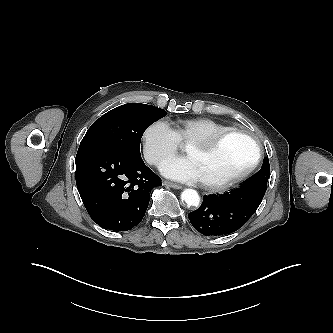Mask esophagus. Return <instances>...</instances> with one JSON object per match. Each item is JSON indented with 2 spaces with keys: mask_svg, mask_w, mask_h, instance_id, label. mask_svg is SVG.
I'll return each instance as SVG.
<instances>
[{
  "mask_svg": "<svg viewBox=\"0 0 333 333\" xmlns=\"http://www.w3.org/2000/svg\"><path fill=\"white\" fill-rule=\"evenodd\" d=\"M163 185H164V186H167V187L174 188V189H182V186H181V185L176 184V183H172V182H169V181H164V182H163Z\"/></svg>",
  "mask_w": 333,
  "mask_h": 333,
  "instance_id": "34e87169",
  "label": "esophagus"
}]
</instances>
